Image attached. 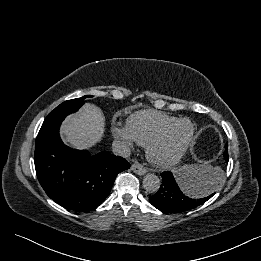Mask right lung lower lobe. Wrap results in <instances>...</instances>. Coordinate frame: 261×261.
Masks as SVG:
<instances>
[{
  "label": "right lung lower lobe",
  "instance_id": "right-lung-lower-lobe-1",
  "mask_svg": "<svg viewBox=\"0 0 261 261\" xmlns=\"http://www.w3.org/2000/svg\"><path fill=\"white\" fill-rule=\"evenodd\" d=\"M64 116L44 120L36 138L34 162L46 194L61 206L88 212L109 195L118 173L130 168L107 151L90 155L66 146L59 135Z\"/></svg>",
  "mask_w": 261,
  "mask_h": 261
}]
</instances>
